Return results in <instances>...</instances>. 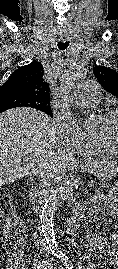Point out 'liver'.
<instances>
[{
    "label": "liver",
    "mask_w": 118,
    "mask_h": 269,
    "mask_svg": "<svg viewBox=\"0 0 118 269\" xmlns=\"http://www.w3.org/2000/svg\"><path fill=\"white\" fill-rule=\"evenodd\" d=\"M57 128L47 114L29 107L0 114V187L51 167L59 175L76 159L57 146ZM95 161H86V165Z\"/></svg>",
    "instance_id": "obj_1"
}]
</instances>
